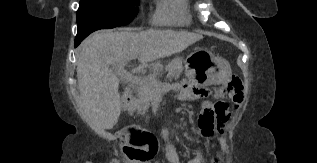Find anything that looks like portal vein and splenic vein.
<instances>
[{
    "instance_id": "18ae733b",
    "label": "portal vein and splenic vein",
    "mask_w": 317,
    "mask_h": 163,
    "mask_svg": "<svg viewBox=\"0 0 317 163\" xmlns=\"http://www.w3.org/2000/svg\"><path fill=\"white\" fill-rule=\"evenodd\" d=\"M134 59L133 57H127L124 60L118 62L117 64L113 65V69L116 75H118L121 79H124L125 81L133 84H145L147 80L145 78H141L135 75H132L131 73L127 72L124 69V66L127 62ZM164 84L161 81L157 82V89L161 91L164 88Z\"/></svg>"
}]
</instances>
